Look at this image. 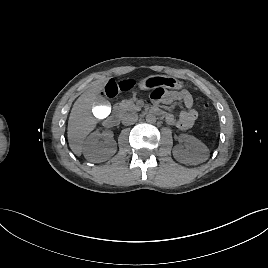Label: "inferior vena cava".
Masks as SVG:
<instances>
[{
    "instance_id": "obj_1",
    "label": "inferior vena cava",
    "mask_w": 268,
    "mask_h": 268,
    "mask_svg": "<svg viewBox=\"0 0 268 268\" xmlns=\"http://www.w3.org/2000/svg\"><path fill=\"white\" fill-rule=\"evenodd\" d=\"M138 120V115L135 112L126 113L122 117V124L124 125H132Z\"/></svg>"
}]
</instances>
